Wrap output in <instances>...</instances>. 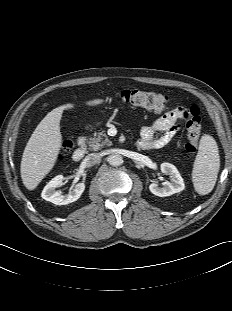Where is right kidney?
Listing matches in <instances>:
<instances>
[{
  "label": "right kidney",
  "instance_id": "right-kidney-1",
  "mask_svg": "<svg viewBox=\"0 0 232 311\" xmlns=\"http://www.w3.org/2000/svg\"><path fill=\"white\" fill-rule=\"evenodd\" d=\"M64 177L58 175L54 177L43 189L42 198L46 201H50L56 205H66L78 200L85 190L84 183H78L75 188L66 195H62L60 191H56V188L60 187L63 183Z\"/></svg>",
  "mask_w": 232,
  "mask_h": 311
}]
</instances>
